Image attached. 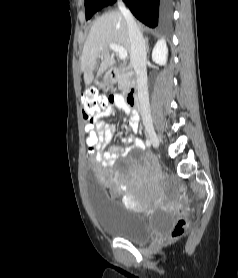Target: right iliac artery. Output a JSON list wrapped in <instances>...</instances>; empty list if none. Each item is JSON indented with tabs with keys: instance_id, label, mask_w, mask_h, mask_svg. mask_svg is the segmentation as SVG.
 I'll return each instance as SVG.
<instances>
[{
	"instance_id": "82829eb1",
	"label": "right iliac artery",
	"mask_w": 238,
	"mask_h": 278,
	"mask_svg": "<svg viewBox=\"0 0 238 278\" xmlns=\"http://www.w3.org/2000/svg\"><path fill=\"white\" fill-rule=\"evenodd\" d=\"M145 143H146V145H147L148 147L151 146V142H150L148 139L145 141Z\"/></svg>"
}]
</instances>
